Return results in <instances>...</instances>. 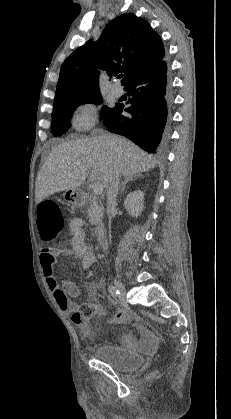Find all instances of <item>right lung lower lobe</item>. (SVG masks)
<instances>
[{"mask_svg":"<svg viewBox=\"0 0 231 419\" xmlns=\"http://www.w3.org/2000/svg\"><path fill=\"white\" fill-rule=\"evenodd\" d=\"M125 90L132 96L128 102L131 106L124 109L123 104H117L103 123L110 132L126 136L148 152L162 151L169 133L168 108L172 98L166 61L134 78ZM123 110L129 115L123 116Z\"/></svg>","mask_w":231,"mask_h":419,"instance_id":"right-lung-lower-lobe-1","label":"right lung lower lobe"}]
</instances>
